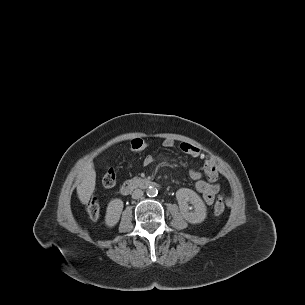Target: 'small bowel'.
Listing matches in <instances>:
<instances>
[{
    "label": "small bowel",
    "mask_w": 305,
    "mask_h": 305,
    "mask_svg": "<svg viewBox=\"0 0 305 305\" xmlns=\"http://www.w3.org/2000/svg\"><path fill=\"white\" fill-rule=\"evenodd\" d=\"M162 145L164 148H172L175 145V141L172 138H166L162 142ZM179 148L184 154L198 157L203 160V172L191 170L189 174L190 177L196 181L195 188L197 192L202 195L204 202L207 205H211L219 191V186L216 183L219 171L214 158L206 151L188 142H182ZM153 161V156L147 155L144 158L143 163L144 165H150Z\"/></svg>",
    "instance_id": "1"
}]
</instances>
